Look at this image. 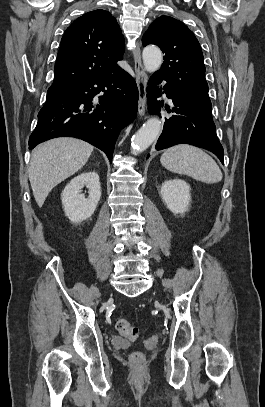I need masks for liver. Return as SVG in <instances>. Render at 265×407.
I'll return each instance as SVG.
<instances>
[{
    "instance_id": "6515ba94",
    "label": "liver",
    "mask_w": 265,
    "mask_h": 407,
    "mask_svg": "<svg viewBox=\"0 0 265 407\" xmlns=\"http://www.w3.org/2000/svg\"><path fill=\"white\" fill-rule=\"evenodd\" d=\"M93 149L89 143L71 137L51 139L34 149L29 181L39 207L56 185L86 164Z\"/></svg>"
}]
</instances>
